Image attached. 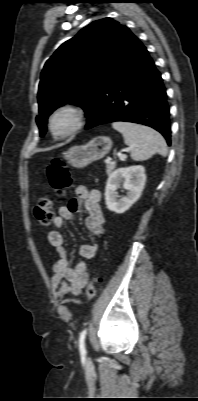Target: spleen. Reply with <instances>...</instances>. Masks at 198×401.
Wrapping results in <instances>:
<instances>
[{
	"label": "spleen",
	"mask_w": 198,
	"mask_h": 401,
	"mask_svg": "<svg viewBox=\"0 0 198 401\" xmlns=\"http://www.w3.org/2000/svg\"><path fill=\"white\" fill-rule=\"evenodd\" d=\"M112 127L122 133L125 144L129 146L133 160L144 161L156 153L163 157L167 155L166 141L154 129L121 121L114 122Z\"/></svg>",
	"instance_id": "1"
}]
</instances>
